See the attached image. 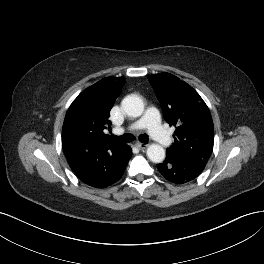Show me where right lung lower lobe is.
<instances>
[{"label":"right lung lower lobe","instance_id":"obj_1","mask_svg":"<svg viewBox=\"0 0 264 264\" xmlns=\"http://www.w3.org/2000/svg\"><path fill=\"white\" fill-rule=\"evenodd\" d=\"M131 155L130 147L124 145L113 152L78 155L67 158V161L82 182L95 188H105L122 177Z\"/></svg>","mask_w":264,"mask_h":264}]
</instances>
